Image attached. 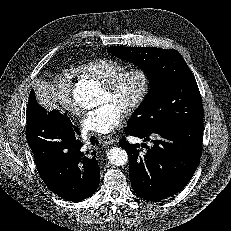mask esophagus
Instances as JSON below:
<instances>
[{"label": "esophagus", "instance_id": "1", "mask_svg": "<svg viewBox=\"0 0 231 231\" xmlns=\"http://www.w3.org/2000/svg\"><path fill=\"white\" fill-rule=\"evenodd\" d=\"M101 142H102V144L110 145V144H113L115 142V140L112 137H110V136H104L101 139Z\"/></svg>", "mask_w": 231, "mask_h": 231}]
</instances>
